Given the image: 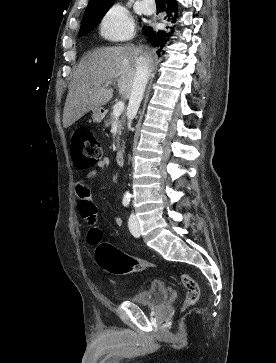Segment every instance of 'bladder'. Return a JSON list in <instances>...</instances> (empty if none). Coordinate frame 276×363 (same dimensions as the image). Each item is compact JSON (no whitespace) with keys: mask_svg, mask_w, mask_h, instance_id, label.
Segmentation results:
<instances>
[{"mask_svg":"<svg viewBox=\"0 0 276 363\" xmlns=\"http://www.w3.org/2000/svg\"><path fill=\"white\" fill-rule=\"evenodd\" d=\"M168 289L164 285L152 283L148 288L138 292L130 301L137 305H143L150 308H156L167 301Z\"/></svg>","mask_w":276,"mask_h":363,"instance_id":"obj_1","label":"bladder"}]
</instances>
